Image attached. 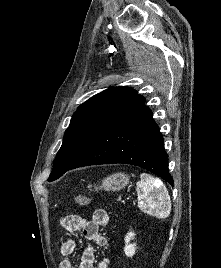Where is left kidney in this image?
<instances>
[{
  "instance_id": "5707ae66",
  "label": "left kidney",
  "mask_w": 221,
  "mask_h": 268,
  "mask_svg": "<svg viewBox=\"0 0 221 268\" xmlns=\"http://www.w3.org/2000/svg\"><path fill=\"white\" fill-rule=\"evenodd\" d=\"M135 237L134 232H128L125 236V247H124V253L127 257H132L135 254L136 250V244H131L130 241L133 240Z\"/></svg>"
}]
</instances>
